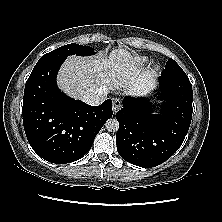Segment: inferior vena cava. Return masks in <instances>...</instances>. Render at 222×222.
Instances as JSON below:
<instances>
[{
    "label": "inferior vena cava",
    "instance_id": "inferior-vena-cava-1",
    "mask_svg": "<svg viewBox=\"0 0 222 222\" xmlns=\"http://www.w3.org/2000/svg\"><path fill=\"white\" fill-rule=\"evenodd\" d=\"M106 94V90L104 88H100L85 94L82 99L85 103L91 106H98L105 100Z\"/></svg>",
    "mask_w": 222,
    "mask_h": 222
}]
</instances>
